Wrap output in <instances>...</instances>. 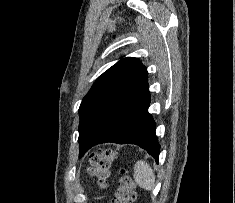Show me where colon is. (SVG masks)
I'll return each instance as SVG.
<instances>
[{
    "instance_id": "1",
    "label": "colon",
    "mask_w": 235,
    "mask_h": 203,
    "mask_svg": "<svg viewBox=\"0 0 235 203\" xmlns=\"http://www.w3.org/2000/svg\"><path fill=\"white\" fill-rule=\"evenodd\" d=\"M117 153L112 149H103L91 154L88 172L98 180L100 186L105 187L109 178L111 162ZM136 199V190L133 179L122 170L117 183L116 192L111 203H133Z\"/></svg>"
}]
</instances>
